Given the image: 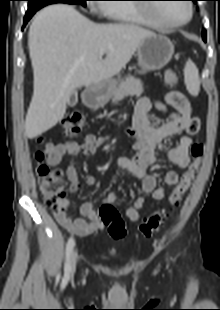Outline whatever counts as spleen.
<instances>
[{
    "label": "spleen",
    "mask_w": 220,
    "mask_h": 310,
    "mask_svg": "<svg viewBox=\"0 0 220 310\" xmlns=\"http://www.w3.org/2000/svg\"><path fill=\"white\" fill-rule=\"evenodd\" d=\"M185 83L187 90L193 96H197L200 91L199 73L196 65L189 59L184 69Z\"/></svg>",
    "instance_id": "spleen-1"
}]
</instances>
